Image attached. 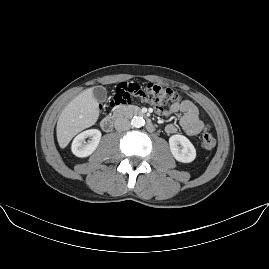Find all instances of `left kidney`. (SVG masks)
I'll use <instances>...</instances> for the list:
<instances>
[{
  "label": "left kidney",
  "instance_id": "obj_1",
  "mask_svg": "<svg viewBox=\"0 0 269 269\" xmlns=\"http://www.w3.org/2000/svg\"><path fill=\"white\" fill-rule=\"evenodd\" d=\"M170 150L179 162L189 163L196 157V149L193 144L183 135H173L169 138Z\"/></svg>",
  "mask_w": 269,
  "mask_h": 269
}]
</instances>
